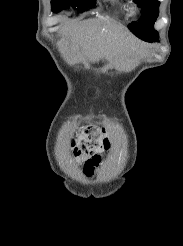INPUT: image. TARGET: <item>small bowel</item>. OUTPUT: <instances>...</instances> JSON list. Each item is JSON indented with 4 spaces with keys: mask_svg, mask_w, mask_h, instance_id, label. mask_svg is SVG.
Returning <instances> with one entry per match:
<instances>
[{
    "mask_svg": "<svg viewBox=\"0 0 183 246\" xmlns=\"http://www.w3.org/2000/svg\"><path fill=\"white\" fill-rule=\"evenodd\" d=\"M100 162H101V156L99 153H96L93 156H91L84 165L83 168L84 175L87 178H91L94 175L95 170L100 164Z\"/></svg>",
    "mask_w": 183,
    "mask_h": 246,
    "instance_id": "obj_1",
    "label": "small bowel"
}]
</instances>
